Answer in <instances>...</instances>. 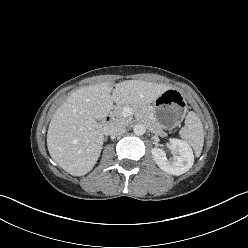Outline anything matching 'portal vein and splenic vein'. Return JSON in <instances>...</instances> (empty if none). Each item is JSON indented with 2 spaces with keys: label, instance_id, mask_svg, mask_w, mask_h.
I'll list each match as a JSON object with an SVG mask.
<instances>
[{
  "label": "portal vein and splenic vein",
  "instance_id": "1",
  "mask_svg": "<svg viewBox=\"0 0 248 248\" xmlns=\"http://www.w3.org/2000/svg\"><path fill=\"white\" fill-rule=\"evenodd\" d=\"M131 114H132V109H131V108L125 107V108L123 109L122 115H123L124 117H128V116H130Z\"/></svg>",
  "mask_w": 248,
  "mask_h": 248
}]
</instances>
